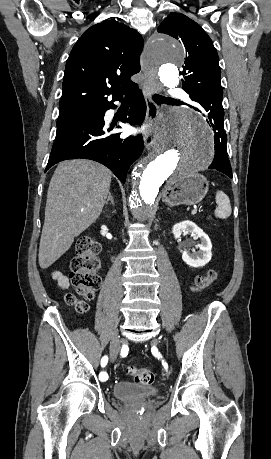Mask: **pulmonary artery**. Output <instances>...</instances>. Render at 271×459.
I'll return each instance as SVG.
<instances>
[{
  "label": "pulmonary artery",
  "mask_w": 271,
  "mask_h": 459,
  "mask_svg": "<svg viewBox=\"0 0 271 459\" xmlns=\"http://www.w3.org/2000/svg\"><path fill=\"white\" fill-rule=\"evenodd\" d=\"M171 97L180 98V101L185 106H193L196 110H200L203 107V104L200 101H196L193 97H188V92L183 89L171 90L169 92ZM114 113L113 109H109L105 113V119L109 120Z\"/></svg>",
  "instance_id": "obj_1"
}]
</instances>
